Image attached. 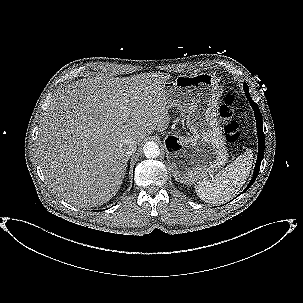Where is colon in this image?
Masks as SVG:
<instances>
[{"mask_svg": "<svg viewBox=\"0 0 303 303\" xmlns=\"http://www.w3.org/2000/svg\"><path fill=\"white\" fill-rule=\"evenodd\" d=\"M240 109L236 97L233 94H227L224 97L220 107V116L223 121L224 136L229 143H236L240 137L238 122V113L240 112Z\"/></svg>", "mask_w": 303, "mask_h": 303, "instance_id": "colon-1", "label": "colon"}]
</instances>
